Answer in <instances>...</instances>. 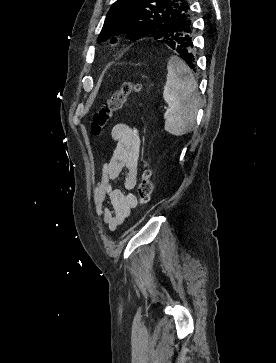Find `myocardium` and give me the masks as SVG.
<instances>
[{
    "instance_id": "myocardium-1",
    "label": "myocardium",
    "mask_w": 276,
    "mask_h": 363,
    "mask_svg": "<svg viewBox=\"0 0 276 363\" xmlns=\"http://www.w3.org/2000/svg\"><path fill=\"white\" fill-rule=\"evenodd\" d=\"M112 48H115L116 47V43H112Z\"/></svg>"
}]
</instances>
